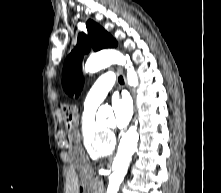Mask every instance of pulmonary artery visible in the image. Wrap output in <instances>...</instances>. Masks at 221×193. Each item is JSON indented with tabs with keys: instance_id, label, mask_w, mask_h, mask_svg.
I'll use <instances>...</instances> for the list:
<instances>
[{
	"instance_id": "pulmonary-artery-1",
	"label": "pulmonary artery",
	"mask_w": 221,
	"mask_h": 193,
	"mask_svg": "<svg viewBox=\"0 0 221 193\" xmlns=\"http://www.w3.org/2000/svg\"><path fill=\"white\" fill-rule=\"evenodd\" d=\"M115 81L112 72L102 74L92 86L85 99L84 107L87 110L95 109L106 97Z\"/></svg>"
}]
</instances>
